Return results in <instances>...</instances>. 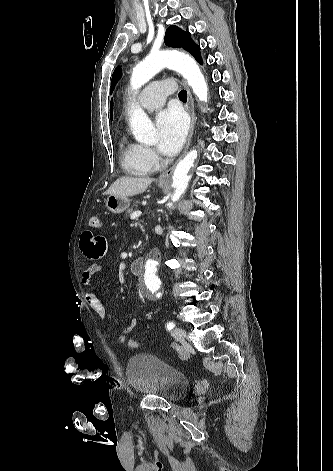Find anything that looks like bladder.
<instances>
[{"label": "bladder", "mask_w": 333, "mask_h": 471, "mask_svg": "<svg viewBox=\"0 0 333 471\" xmlns=\"http://www.w3.org/2000/svg\"><path fill=\"white\" fill-rule=\"evenodd\" d=\"M126 376L134 391L169 402L181 400L190 390V379L162 359L146 353L132 356L126 366Z\"/></svg>", "instance_id": "1"}]
</instances>
